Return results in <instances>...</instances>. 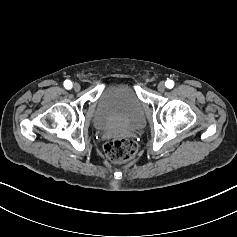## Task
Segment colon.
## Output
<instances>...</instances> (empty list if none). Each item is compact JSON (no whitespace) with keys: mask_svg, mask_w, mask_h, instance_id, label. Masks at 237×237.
<instances>
[{"mask_svg":"<svg viewBox=\"0 0 237 237\" xmlns=\"http://www.w3.org/2000/svg\"><path fill=\"white\" fill-rule=\"evenodd\" d=\"M107 157L114 163H125L132 160L137 153V145L130 138L120 137L109 140L104 145Z\"/></svg>","mask_w":237,"mask_h":237,"instance_id":"5ec220e1","label":"colon"}]
</instances>
